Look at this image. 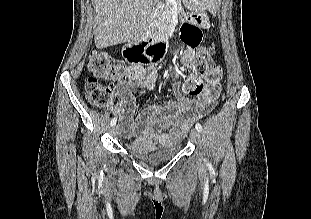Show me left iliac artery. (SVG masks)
<instances>
[{"mask_svg": "<svg viewBox=\"0 0 311 219\" xmlns=\"http://www.w3.org/2000/svg\"><path fill=\"white\" fill-rule=\"evenodd\" d=\"M195 128H196L199 132L202 131V125H201L200 123H197L196 126H195Z\"/></svg>", "mask_w": 311, "mask_h": 219, "instance_id": "44dca946", "label": "left iliac artery"}]
</instances>
